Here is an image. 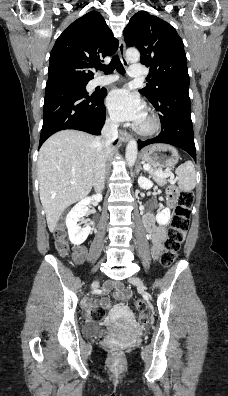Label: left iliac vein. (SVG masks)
I'll use <instances>...</instances> for the list:
<instances>
[{"instance_id":"1","label":"left iliac vein","mask_w":228,"mask_h":396,"mask_svg":"<svg viewBox=\"0 0 228 396\" xmlns=\"http://www.w3.org/2000/svg\"><path fill=\"white\" fill-rule=\"evenodd\" d=\"M130 282L138 287H141V288L144 287L143 281L138 277H134V278L130 279Z\"/></svg>"}]
</instances>
